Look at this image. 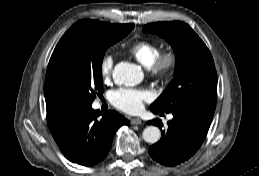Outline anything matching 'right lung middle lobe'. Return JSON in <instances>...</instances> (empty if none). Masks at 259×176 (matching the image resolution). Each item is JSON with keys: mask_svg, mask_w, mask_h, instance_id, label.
<instances>
[{"mask_svg": "<svg viewBox=\"0 0 259 176\" xmlns=\"http://www.w3.org/2000/svg\"><path fill=\"white\" fill-rule=\"evenodd\" d=\"M133 24L96 29L87 24L73 25L54 52V64L67 85L73 106H91L102 92V60L106 49L125 37Z\"/></svg>", "mask_w": 259, "mask_h": 176, "instance_id": "1", "label": "right lung middle lobe"}]
</instances>
